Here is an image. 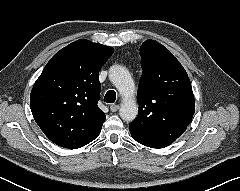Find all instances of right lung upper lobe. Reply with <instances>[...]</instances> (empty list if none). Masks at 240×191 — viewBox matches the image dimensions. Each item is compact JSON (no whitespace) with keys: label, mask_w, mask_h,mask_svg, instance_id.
I'll use <instances>...</instances> for the list:
<instances>
[{"label":"right lung upper lobe","mask_w":240,"mask_h":191,"mask_svg":"<svg viewBox=\"0 0 240 191\" xmlns=\"http://www.w3.org/2000/svg\"><path fill=\"white\" fill-rule=\"evenodd\" d=\"M114 49L80 39L58 51L36 80L30 105L45 135L62 147L96 137L105 121L97 106L99 71Z\"/></svg>","instance_id":"cb5924a9"}]
</instances>
